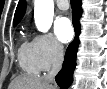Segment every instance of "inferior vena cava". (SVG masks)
Segmentation results:
<instances>
[{"mask_svg":"<svg viewBox=\"0 0 107 89\" xmlns=\"http://www.w3.org/2000/svg\"><path fill=\"white\" fill-rule=\"evenodd\" d=\"M63 59H64L63 46L60 45L59 43H56L52 69L46 75V79L49 82L54 81L56 74L59 72V70L62 67Z\"/></svg>","mask_w":107,"mask_h":89,"instance_id":"obj_1","label":"inferior vena cava"}]
</instances>
